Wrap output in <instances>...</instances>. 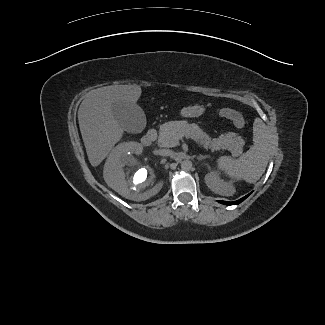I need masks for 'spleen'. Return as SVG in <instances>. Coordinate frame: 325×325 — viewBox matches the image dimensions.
Listing matches in <instances>:
<instances>
[{"label":"spleen","mask_w":325,"mask_h":325,"mask_svg":"<svg viewBox=\"0 0 325 325\" xmlns=\"http://www.w3.org/2000/svg\"><path fill=\"white\" fill-rule=\"evenodd\" d=\"M253 146L238 159L222 156L217 160L218 169L232 180L255 183L264 173L271 153L269 129L260 119L253 123Z\"/></svg>","instance_id":"1"}]
</instances>
